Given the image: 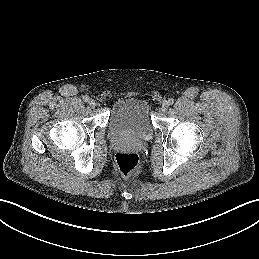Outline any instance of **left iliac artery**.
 <instances>
[{
    "label": "left iliac artery",
    "instance_id": "left-iliac-artery-1",
    "mask_svg": "<svg viewBox=\"0 0 259 259\" xmlns=\"http://www.w3.org/2000/svg\"><path fill=\"white\" fill-rule=\"evenodd\" d=\"M168 103H169L170 105H172V104L174 103V99L170 98V99L168 100Z\"/></svg>",
    "mask_w": 259,
    "mask_h": 259
}]
</instances>
